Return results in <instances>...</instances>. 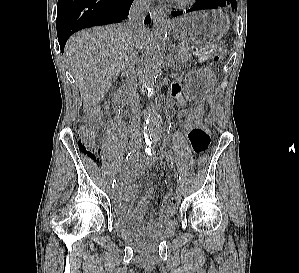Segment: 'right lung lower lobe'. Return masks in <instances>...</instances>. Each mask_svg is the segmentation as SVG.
I'll use <instances>...</instances> for the list:
<instances>
[{
	"instance_id": "1",
	"label": "right lung lower lobe",
	"mask_w": 299,
	"mask_h": 273,
	"mask_svg": "<svg viewBox=\"0 0 299 273\" xmlns=\"http://www.w3.org/2000/svg\"><path fill=\"white\" fill-rule=\"evenodd\" d=\"M133 0H58L56 28L63 53L68 38L92 26L118 23L127 18ZM150 23V16L145 24Z\"/></svg>"
}]
</instances>
